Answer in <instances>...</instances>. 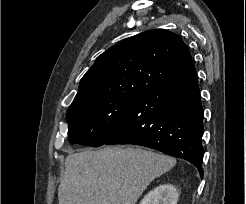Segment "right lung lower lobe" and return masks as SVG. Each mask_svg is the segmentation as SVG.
Segmentation results:
<instances>
[{
  "mask_svg": "<svg viewBox=\"0 0 246 204\" xmlns=\"http://www.w3.org/2000/svg\"><path fill=\"white\" fill-rule=\"evenodd\" d=\"M203 108L194 65L155 85L134 101L105 145L135 144L191 162L203 176Z\"/></svg>",
  "mask_w": 246,
  "mask_h": 204,
  "instance_id": "98d812e1",
  "label": "right lung lower lobe"
}]
</instances>
